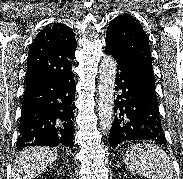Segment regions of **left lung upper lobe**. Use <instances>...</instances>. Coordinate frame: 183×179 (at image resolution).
I'll list each match as a JSON object with an SVG mask.
<instances>
[{
	"instance_id": "5c2ea615",
	"label": "left lung upper lobe",
	"mask_w": 183,
	"mask_h": 179,
	"mask_svg": "<svg viewBox=\"0 0 183 179\" xmlns=\"http://www.w3.org/2000/svg\"><path fill=\"white\" fill-rule=\"evenodd\" d=\"M106 42L143 68L155 92L150 47L142 26L128 15H119L108 26Z\"/></svg>"
}]
</instances>
